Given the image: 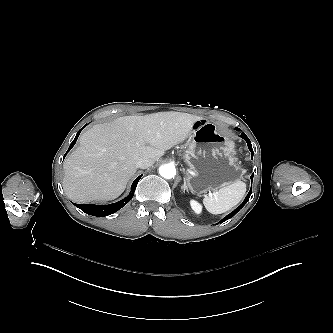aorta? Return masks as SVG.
Returning a JSON list of instances; mask_svg holds the SVG:
<instances>
[{"label":"aorta","mask_w":333,"mask_h":333,"mask_svg":"<svg viewBox=\"0 0 333 333\" xmlns=\"http://www.w3.org/2000/svg\"><path fill=\"white\" fill-rule=\"evenodd\" d=\"M159 173L166 179H172L176 176V169L171 164H165L159 168Z\"/></svg>","instance_id":"obj_1"}]
</instances>
